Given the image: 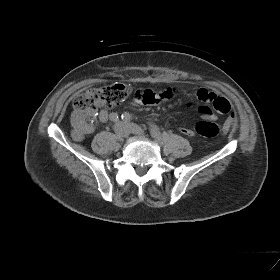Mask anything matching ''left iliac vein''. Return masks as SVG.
<instances>
[{
    "label": "left iliac vein",
    "mask_w": 280,
    "mask_h": 280,
    "mask_svg": "<svg viewBox=\"0 0 280 280\" xmlns=\"http://www.w3.org/2000/svg\"><path fill=\"white\" fill-rule=\"evenodd\" d=\"M127 127L130 129V131L133 134H136V135H139V136H143L144 135L143 129L140 126H138L137 124L128 123Z\"/></svg>",
    "instance_id": "1"
}]
</instances>
